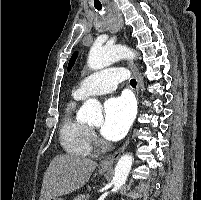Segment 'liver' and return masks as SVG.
<instances>
[{
    "label": "liver",
    "instance_id": "obj_1",
    "mask_svg": "<svg viewBox=\"0 0 201 200\" xmlns=\"http://www.w3.org/2000/svg\"><path fill=\"white\" fill-rule=\"evenodd\" d=\"M96 166V162L85 157L55 156L44 174L39 200H50L80 189L89 181Z\"/></svg>",
    "mask_w": 201,
    "mask_h": 200
}]
</instances>
